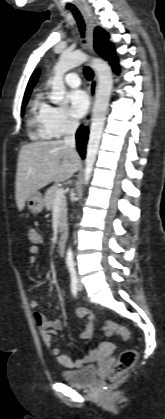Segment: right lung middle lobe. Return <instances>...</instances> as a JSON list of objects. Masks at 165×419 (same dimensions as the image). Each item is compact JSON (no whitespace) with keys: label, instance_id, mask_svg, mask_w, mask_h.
<instances>
[{"label":"right lung middle lobe","instance_id":"1","mask_svg":"<svg viewBox=\"0 0 165 419\" xmlns=\"http://www.w3.org/2000/svg\"><path fill=\"white\" fill-rule=\"evenodd\" d=\"M28 98L29 97H25L24 99H23V103H22V112H21V114L23 115V113H24V108H25V106H26V103H27V101H28Z\"/></svg>","mask_w":165,"mask_h":419}]
</instances>
